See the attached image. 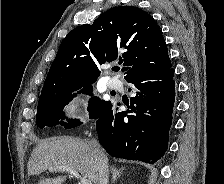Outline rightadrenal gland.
Here are the masks:
<instances>
[{"instance_id": "obj_1", "label": "right adrenal gland", "mask_w": 224, "mask_h": 184, "mask_svg": "<svg viewBox=\"0 0 224 184\" xmlns=\"http://www.w3.org/2000/svg\"><path fill=\"white\" fill-rule=\"evenodd\" d=\"M123 170H124V167H122L121 169L118 170L113 165L111 166L112 184L115 183V181L120 177Z\"/></svg>"}]
</instances>
